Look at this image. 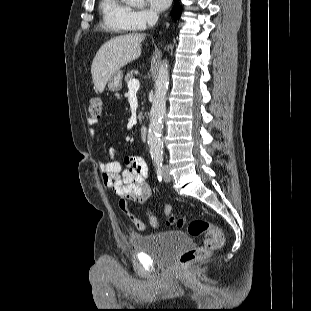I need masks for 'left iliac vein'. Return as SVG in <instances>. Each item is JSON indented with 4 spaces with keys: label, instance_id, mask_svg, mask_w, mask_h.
Wrapping results in <instances>:
<instances>
[{
    "label": "left iliac vein",
    "instance_id": "1",
    "mask_svg": "<svg viewBox=\"0 0 311 311\" xmlns=\"http://www.w3.org/2000/svg\"><path fill=\"white\" fill-rule=\"evenodd\" d=\"M163 173H164V180L166 182H169L171 180V176H170V173H169V167L168 166H164L163 167Z\"/></svg>",
    "mask_w": 311,
    "mask_h": 311
}]
</instances>
